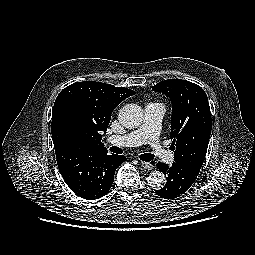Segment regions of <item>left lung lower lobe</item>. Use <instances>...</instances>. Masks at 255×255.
<instances>
[{"mask_svg":"<svg viewBox=\"0 0 255 255\" xmlns=\"http://www.w3.org/2000/svg\"><path fill=\"white\" fill-rule=\"evenodd\" d=\"M157 167L167 176L166 185L156 191V194L164 199H174L184 194L194 183L199 173L193 167L182 162H173L170 167L159 162Z\"/></svg>","mask_w":255,"mask_h":255,"instance_id":"obj_1","label":"left lung lower lobe"}]
</instances>
